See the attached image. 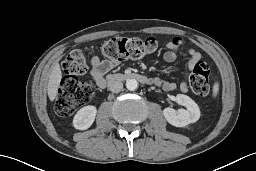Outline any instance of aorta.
<instances>
[{"label":"aorta","mask_w":256,"mask_h":171,"mask_svg":"<svg viewBox=\"0 0 256 171\" xmlns=\"http://www.w3.org/2000/svg\"><path fill=\"white\" fill-rule=\"evenodd\" d=\"M138 87V82L136 79H129L126 81V88L130 91L136 90Z\"/></svg>","instance_id":"aorta-1"}]
</instances>
